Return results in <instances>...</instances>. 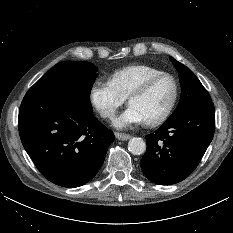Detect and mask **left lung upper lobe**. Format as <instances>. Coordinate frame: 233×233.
<instances>
[{"instance_id":"1","label":"left lung upper lobe","mask_w":233,"mask_h":233,"mask_svg":"<svg viewBox=\"0 0 233 233\" xmlns=\"http://www.w3.org/2000/svg\"><path fill=\"white\" fill-rule=\"evenodd\" d=\"M170 59L179 73L182 90L180 102L167 120L173 119L193 107L212 103L210 95L195 74L173 57Z\"/></svg>"}]
</instances>
